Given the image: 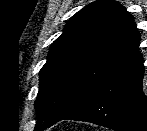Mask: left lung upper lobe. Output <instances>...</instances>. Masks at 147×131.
Segmentation results:
<instances>
[{
    "instance_id": "left-lung-upper-lobe-1",
    "label": "left lung upper lobe",
    "mask_w": 147,
    "mask_h": 131,
    "mask_svg": "<svg viewBox=\"0 0 147 131\" xmlns=\"http://www.w3.org/2000/svg\"><path fill=\"white\" fill-rule=\"evenodd\" d=\"M133 17L112 0L77 12L53 42L40 70L36 130L43 131L78 110L96 87L138 51Z\"/></svg>"
}]
</instances>
